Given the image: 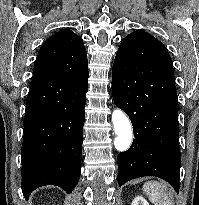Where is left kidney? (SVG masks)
Segmentation results:
<instances>
[{"instance_id":"5707ae66","label":"left kidney","mask_w":199,"mask_h":205,"mask_svg":"<svg viewBox=\"0 0 199 205\" xmlns=\"http://www.w3.org/2000/svg\"><path fill=\"white\" fill-rule=\"evenodd\" d=\"M131 205H149V203L142 196H137L134 198Z\"/></svg>"}]
</instances>
